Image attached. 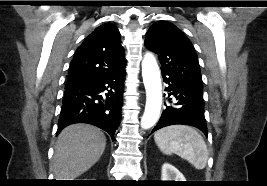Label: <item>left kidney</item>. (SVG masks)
<instances>
[{
	"label": "left kidney",
	"instance_id": "1",
	"mask_svg": "<svg viewBox=\"0 0 267 186\" xmlns=\"http://www.w3.org/2000/svg\"><path fill=\"white\" fill-rule=\"evenodd\" d=\"M162 181H186L185 177L178 169L169 163H164L162 166Z\"/></svg>",
	"mask_w": 267,
	"mask_h": 186
}]
</instances>
